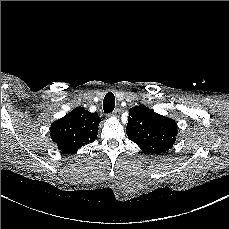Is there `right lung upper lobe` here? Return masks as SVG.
Listing matches in <instances>:
<instances>
[{"label": "right lung upper lobe", "instance_id": "1", "mask_svg": "<svg viewBox=\"0 0 229 229\" xmlns=\"http://www.w3.org/2000/svg\"><path fill=\"white\" fill-rule=\"evenodd\" d=\"M100 120L97 113L75 108L51 124V139L63 153L76 152L85 144L95 141Z\"/></svg>", "mask_w": 229, "mask_h": 229}]
</instances>
